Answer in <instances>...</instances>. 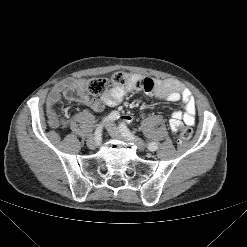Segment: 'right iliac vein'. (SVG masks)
<instances>
[{"label":"right iliac vein","mask_w":247,"mask_h":247,"mask_svg":"<svg viewBox=\"0 0 247 247\" xmlns=\"http://www.w3.org/2000/svg\"><path fill=\"white\" fill-rule=\"evenodd\" d=\"M96 140H97V139H96L95 137L90 136V137L88 138V140H87V146H88L89 148H91V149L96 148V147H97V145L95 144V141H96Z\"/></svg>","instance_id":"63e3f726"}]
</instances>
